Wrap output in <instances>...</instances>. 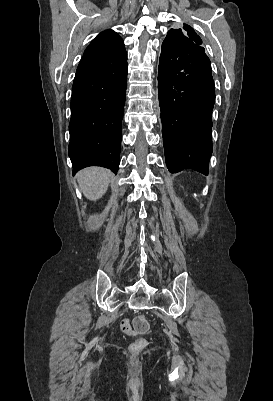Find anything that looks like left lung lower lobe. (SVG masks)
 Instances as JSON below:
<instances>
[{"mask_svg":"<svg viewBox=\"0 0 273 401\" xmlns=\"http://www.w3.org/2000/svg\"><path fill=\"white\" fill-rule=\"evenodd\" d=\"M158 98L168 170L177 173L189 168L208 175L215 91L210 60L202 46L192 41L163 42Z\"/></svg>","mask_w":273,"mask_h":401,"instance_id":"obj_1","label":"left lung lower lobe"}]
</instances>
